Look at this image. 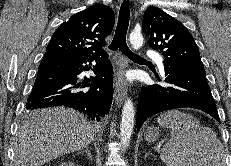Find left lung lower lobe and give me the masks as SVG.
<instances>
[{"label": "left lung lower lobe", "mask_w": 231, "mask_h": 166, "mask_svg": "<svg viewBox=\"0 0 231 166\" xmlns=\"http://www.w3.org/2000/svg\"><path fill=\"white\" fill-rule=\"evenodd\" d=\"M165 66L164 84L142 87L137 106V128L157 113L190 107L199 109L219 121L205 70Z\"/></svg>", "instance_id": "0a47b994"}]
</instances>
